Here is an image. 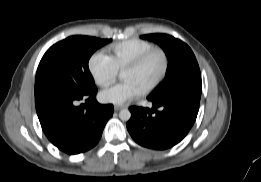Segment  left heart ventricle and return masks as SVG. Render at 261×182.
Returning <instances> with one entry per match:
<instances>
[{"label": "left heart ventricle", "mask_w": 261, "mask_h": 182, "mask_svg": "<svg viewBox=\"0 0 261 182\" xmlns=\"http://www.w3.org/2000/svg\"><path fill=\"white\" fill-rule=\"evenodd\" d=\"M162 66V57L159 54H154L139 68L122 72L121 78L123 81H131L144 89L157 79Z\"/></svg>", "instance_id": "left-heart-ventricle-1"}]
</instances>
